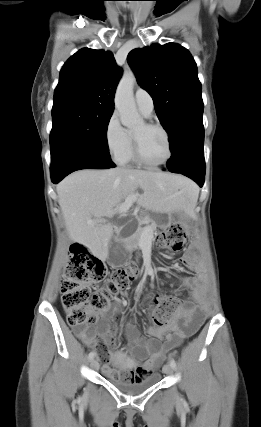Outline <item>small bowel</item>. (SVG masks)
I'll return each mask as SVG.
<instances>
[{"label":"small bowel","instance_id":"1","mask_svg":"<svg viewBox=\"0 0 261 427\" xmlns=\"http://www.w3.org/2000/svg\"><path fill=\"white\" fill-rule=\"evenodd\" d=\"M148 257L149 255L147 254ZM180 262L195 272L194 276L181 280V286L189 291L193 305L188 304L179 309L174 314L170 323L163 329L153 332V336L149 339H145L140 335L134 321L127 323L125 326L128 349L140 357L147 356L146 360L140 365H135L134 360L129 356H125V359L122 360L125 365L134 367L133 376L135 378L146 377L157 369L165 359V354L177 347L184 338L191 336L204 319L206 301L205 277L202 269L189 253L184 255L180 259ZM147 270H150L148 265ZM125 305V300H117L116 304L111 308L110 313L113 315L119 314L122 306ZM180 321L183 322L182 325ZM109 322L110 319L105 317L99 322L96 328L78 327L75 329L76 335L87 346L97 348L99 357L104 364L108 363L107 347L116 344V340L109 329ZM162 337L164 341H161ZM103 370L108 375H116L109 366H105Z\"/></svg>","mask_w":261,"mask_h":427}]
</instances>
